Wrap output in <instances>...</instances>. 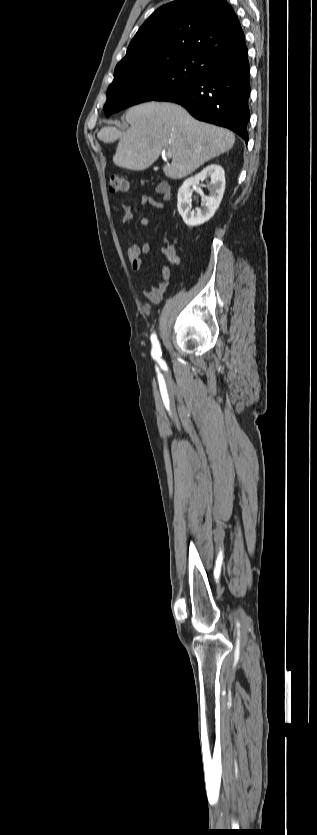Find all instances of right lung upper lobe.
I'll return each mask as SVG.
<instances>
[{
	"label": "right lung upper lobe",
	"instance_id": "cb5924a9",
	"mask_svg": "<svg viewBox=\"0 0 317 835\" xmlns=\"http://www.w3.org/2000/svg\"><path fill=\"white\" fill-rule=\"evenodd\" d=\"M243 34L226 0H176L156 11L139 28L116 75L198 58Z\"/></svg>",
	"mask_w": 317,
	"mask_h": 835
}]
</instances>
